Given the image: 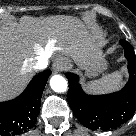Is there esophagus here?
I'll return each instance as SVG.
<instances>
[{"label":"esophagus","instance_id":"1","mask_svg":"<svg viewBox=\"0 0 136 136\" xmlns=\"http://www.w3.org/2000/svg\"><path fill=\"white\" fill-rule=\"evenodd\" d=\"M65 65H66V63L62 58H57L53 64L54 72L58 73L59 71H61L65 67Z\"/></svg>","mask_w":136,"mask_h":136}]
</instances>
